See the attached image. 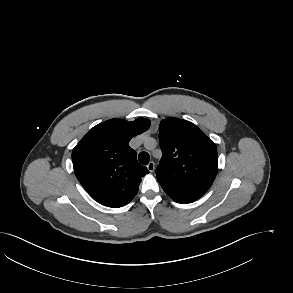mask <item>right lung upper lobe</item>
Returning <instances> with one entry per match:
<instances>
[{
    "label": "right lung upper lobe",
    "mask_w": 293,
    "mask_h": 293,
    "mask_svg": "<svg viewBox=\"0 0 293 293\" xmlns=\"http://www.w3.org/2000/svg\"><path fill=\"white\" fill-rule=\"evenodd\" d=\"M150 121L111 119L93 127L72 151L74 172L87 193L108 207L128 204L149 173L129 147L135 135L148 130Z\"/></svg>",
    "instance_id": "cb5924a9"
}]
</instances>
